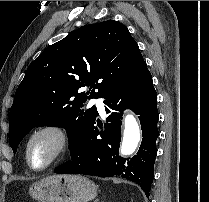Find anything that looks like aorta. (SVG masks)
<instances>
[{"mask_svg":"<svg viewBox=\"0 0 209 202\" xmlns=\"http://www.w3.org/2000/svg\"><path fill=\"white\" fill-rule=\"evenodd\" d=\"M140 140V128L136 119L131 114L126 115L124 118V131L120 149L121 154H132L137 148Z\"/></svg>","mask_w":209,"mask_h":202,"instance_id":"762f6f07","label":"aorta"}]
</instances>
